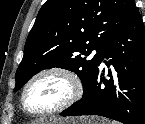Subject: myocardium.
<instances>
[{
	"label": "myocardium",
	"instance_id": "obj_1",
	"mask_svg": "<svg viewBox=\"0 0 145 124\" xmlns=\"http://www.w3.org/2000/svg\"><path fill=\"white\" fill-rule=\"evenodd\" d=\"M48 76H59L65 79L69 85V94L63 101L53 107L40 111L31 110L26 104V94L33 84H35L40 79ZM82 94L83 84L76 73L65 67L52 66L38 71L25 83L20 94V105L23 112L30 117H46L60 113L71 107L81 98Z\"/></svg>",
	"mask_w": 145,
	"mask_h": 124
}]
</instances>
